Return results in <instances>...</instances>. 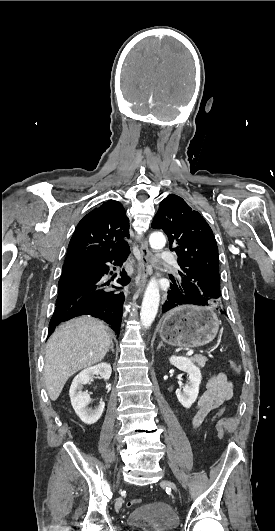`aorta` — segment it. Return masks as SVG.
Wrapping results in <instances>:
<instances>
[{
	"mask_svg": "<svg viewBox=\"0 0 275 531\" xmlns=\"http://www.w3.org/2000/svg\"><path fill=\"white\" fill-rule=\"evenodd\" d=\"M151 249H163L165 247L166 239L161 233H152L149 239ZM160 303L159 287L156 279L149 281L146 291L144 293L140 321L144 329H149L158 313Z\"/></svg>",
	"mask_w": 275,
	"mask_h": 531,
	"instance_id": "1",
	"label": "aorta"
}]
</instances>
